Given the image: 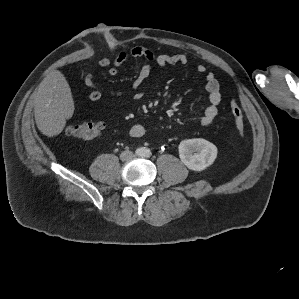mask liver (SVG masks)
I'll list each match as a JSON object with an SVG mask.
<instances>
[{"mask_svg":"<svg viewBox=\"0 0 299 299\" xmlns=\"http://www.w3.org/2000/svg\"><path fill=\"white\" fill-rule=\"evenodd\" d=\"M73 113L74 100L69 84L59 70H53L41 81L35 92L36 125L42 134L57 136Z\"/></svg>","mask_w":299,"mask_h":299,"instance_id":"obj_1","label":"liver"}]
</instances>
